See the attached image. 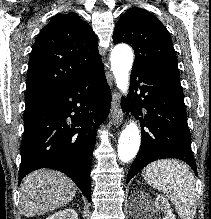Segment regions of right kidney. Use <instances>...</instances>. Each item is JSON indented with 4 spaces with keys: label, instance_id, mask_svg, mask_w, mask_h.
Masks as SVG:
<instances>
[{
    "label": "right kidney",
    "instance_id": "ca27d5eb",
    "mask_svg": "<svg viewBox=\"0 0 211 219\" xmlns=\"http://www.w3.org/2000/svg\"><path fill=\"white\" fill-rule=\"evenodd\" d=\"M46 219H78V214L74 209L68 208L58 211Z\"/></svg>",
    "mask_w": 211,
    "mask_h": 219
}]
</instances>
